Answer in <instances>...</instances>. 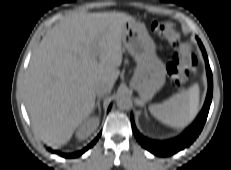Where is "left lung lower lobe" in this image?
<instances>
[{
    "mask_svg": "<svg viewBox=\"0 0 231 170\" xmlns=\"http://www.w3.org/2000/svg\"><path fill=\"white\" fill-rule=\"evenodd\" d=\"M200 47L202 49L203 55L205 57L206 62V69H207V76H208V94L206 97V101L204 104V107L196 119V121L193 123V125L187 129L180 137L166 141V142H158V141H152L145 137H143L136 129L134 122L132 120V128L134 135L138 142L148 151L152 152L155 155H161V156H167L177 153L178 151L182 150L183 148L189 146L200 134L204 123L206 121L211 100H212V94H213V79H212V72L208 63L206 52L202 46V44L199 42Z\"/></svg>",
    "mask_w": 231,
    "mask_h": 170,
    "instance_id": "obj_1",
    "label": "left lung lower lobe"
}]
</instances>
